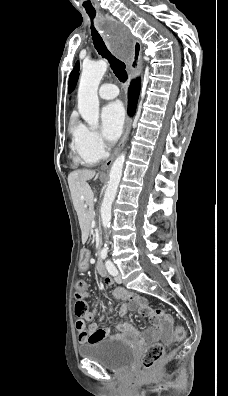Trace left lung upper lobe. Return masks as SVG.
<instances>
[{"instance_id":"1","label":"left lung upper lobe","mask_w":228,"mask_h":396,"mask_svg":"<svg viewBox=\"0 0 228 396\" xmlns=\"http://www.w3.org/2000/svg\"><path fill=\"white\" fill-rule=\"evenodd\" d=\"M79 69H80V65H79V62H77L75 64L73 71L70 74V77H69V85H68L69 93H71L74 90V88L77 84L78 77H79Z\"/></svg>"}]
</instances>
